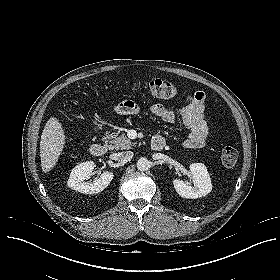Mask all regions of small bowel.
<instances>
[{
    "instance_id": "small-bowel-1",
    "label": "small bowel",
    "mask_w": 280,
    "mask_h": 280,
    "mask_svg": "<svg viewBox=\"0 0 280 280\" xmlns=\"http://www.w3.org/2000/svg\"><path fill=\"white\" fill-rule=\"evenodd\" d=\"M185 99L187 104L177 110L161 103H156L151 106L150 111L165 123H174L177 115H179L183 125L189 130V134L183 143L184 146L191 149L203 148L209 137V123L205 116L206 93L203 90H197L192 94L186 95ZM133 105L132 114H137V106L134 103ZM114 111L116 114L121 115L120 105ZM155 137L162 136L156 135Z\"/></svg>"
}]
</instances>
